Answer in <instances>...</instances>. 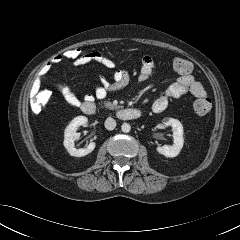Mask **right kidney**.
Instances as JSON below:
<instances>
[{"label":"right kidney","mask_w":240,"mask_h":240,"mask_svg":"<svg viewBox=\"0 0 240 240\" xmlns=\"http://www.w3.org/2000/svg\"><path fill=\"white\" fill-rule=\"evenodd\" d=\"M88 119L85 116H78L74 118L66 127L64 132V146L71 156L82 157L91 153L95 149V143L90 142L86 148L77 149L74 141L79 139L80 133L76 132L78 127L85 125Z\"/></svg>","instance_id":"right-kidney-1"}]
</instances>
